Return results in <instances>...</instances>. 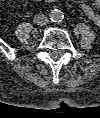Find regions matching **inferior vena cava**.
<instances>
[{
    "label": "inferior vena cava",
    "instance_id": "obj_1",
    "mask_svg": "<svg viewBox=\"0 0 100 118\" xmlns=\"http://www.w3.org/2000/svg\"><path fill=\"white\" fill-rule=\"evenodd\" d=\"M34 23L39 25V26H44L48 23V17L44 14H36L34 16Z\"/></svg>",
    "mask_w": 100,
    "mask_h": 118
}]
</instances>
